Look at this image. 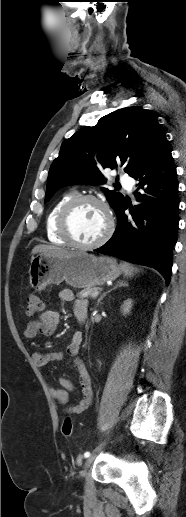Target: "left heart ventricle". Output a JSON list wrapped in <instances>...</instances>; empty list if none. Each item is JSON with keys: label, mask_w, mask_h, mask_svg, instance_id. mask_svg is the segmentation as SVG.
Here are the masks:
<instances>
[{"label": "left heart ventricle", "mask_w": 186, "mask_h": 517, "mask_svg": "<svg viewBox=\"0 0 186 517\" xmlns=\"http://www.w3.org/2000/svg\"><path fill=\"white\" fill-rule=\"evenodd\" d=\"M107 219L102 208L92 202L80 204L74 211L70 228L73 237L81 243L96 241L105 231Z\"/></svg>", "instance_id": "1"}]
</instances>
